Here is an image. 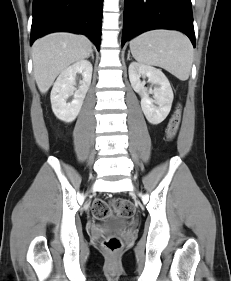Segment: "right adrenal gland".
<instances>
[{
    "instance_id": "2a0ac1e0",
    "label": "right adrenal gland",
    "mask_w": 231,
    "mask_h": 281,
    "mask_svg": "<svg viewBox=\"0 0 231 281\" xmlns=\"http://www.w3.org/2000/svg\"><path fill=\"white\" fill-rule=\"evenodd\" d=\"M90 56H91L92 60H94V54H93V51L91 52Z\"/></svg>"
}]
</instances>
